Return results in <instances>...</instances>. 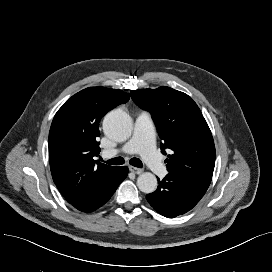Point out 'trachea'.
<instances>
[{"label":"trachea","instance_id":"obj_1","mask_svg":"<svg viewBox=\"0 0 272 272\" xmlns=\"http://www.w3.org/2000/svg\"><path fill=\"white\" fill-rule=\"evenodd\" d=\"M106 163L110 164V165H122V164L125 163V160L122 157H115V158H112L110 160H107ZM130 164L132 166H135V167H138V168L143 167V164H142L141 160L138 159V158H132L130 160Z\"/></svg>","mask_w":272,"mask_h":272}]
</instances>
